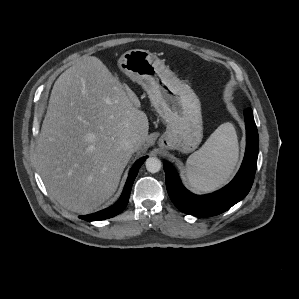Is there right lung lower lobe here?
Here are the masks:
<instances>
[{"mask_svg": "<svg viewBox=\"0 0 299 299\" xmlns=\"http://www.w3.org/2000/svg\"><path fill=\"white\" fill-rule=\"evenodd\" d=\"M147 157L148 156H144L135 162L132 169L130 170V173H129L128 179L126 181L122 195H121L120 199L113 206H111L107 209H104L102 211H99L97 213L80 216L79 218L87 220V221H97V220L108 219V218H111V217L121 213L128 203L131 188H132L134 179L136 178V176L138 174L139 168L144 163V161L147 159Z\"/></svg>", "mask_w": 299, "mask_h": 299, "instance_id": "right-lung-lower-lobe-1", "label": "right lung lower lobe"}]
</instances>
